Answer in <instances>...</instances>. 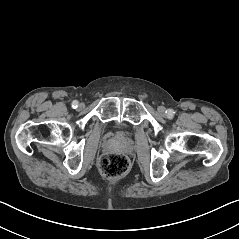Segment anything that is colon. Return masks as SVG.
Wrapping results in <instances>:
<instances>
[{
	"label": "colon",
	"mask_w": 239,
	"mask_h": 239,
	"mask_svg": "<svg viewBox=\"0 0 239 239\" xmlns=\"http://www.w3.org/2000/svg\"><path fill=\"white\" fill-rule=\"evenodd\" d=\"M129 160L124 154L107 153L100 160V170L108 177H118L127 172Z\"/></svg>",
	"instance_id": "5ec220e1"
}]
</instances>
